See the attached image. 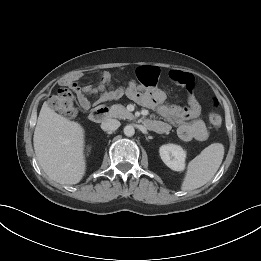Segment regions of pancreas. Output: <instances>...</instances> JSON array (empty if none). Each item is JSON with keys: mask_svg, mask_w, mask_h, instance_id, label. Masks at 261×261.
<instances>
[{"mask_svg": "<svg viewBox=\"0 0 261 261\" xmlns=\"http://www.w3.org/2000/svg\"><path fill=\"white\" fill-rule=\"evenodd\" d=\"M110 116L119 119H129V120H132L134 118L133 114L130 113L124 106L120 104L111 106Z\"/></svg>", "mask_w": 261, "mask_h": 261, "instance_id": "obj_1", "label": "pancreas"}]
</instances>
